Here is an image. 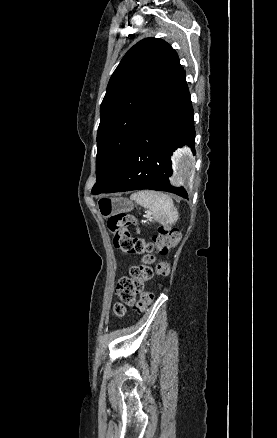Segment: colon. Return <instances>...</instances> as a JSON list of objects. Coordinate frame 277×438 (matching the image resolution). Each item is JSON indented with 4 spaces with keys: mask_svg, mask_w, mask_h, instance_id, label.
Instances as JSON below:
<instances>
[{
    "mask_svg": "<svg viewBox=\"0 0 277 438\" xmlns=\"http://www.w3.org/2000/svg\"><path fill=\"white\" fill-rule=\"evenodd\" d=\"M138 226V221L125 213L114 214L108 219V231L112 235L115 248L123 255H140L143 258L140 264L130 268L128 276L121 277L117 281L118 301L113 305L116 315L123 314L127 307L141 312L152 303L154 292L143 293L144 283L152 279L154 267L162 277H167L171 271L168 262L154 265L155 255L174 248L181 236L175 225H160L158 235L152 237L132 236L129 228H138Z\"/></svg>",
    "mask_w": 277,
    "mask_h": 438,
    "instance_id": "obj_1",
    "label": "colon"
}]
</instances>
